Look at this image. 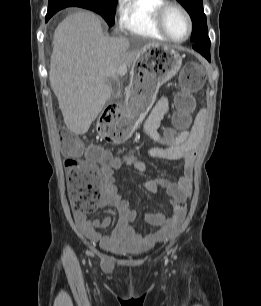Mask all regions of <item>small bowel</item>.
Instances as JSON below:
<instances>
[{
	"label": "small bowel",
	"mask_w": 261,
	"mask_h": 306,
	"mask_svg": "<svg viewBox=\"0 0 261 306\" xmlns=\"http://www.w3.org/2000/svg\"><path fill=\"white\" fill-rule=\"evenodd\" d=\"M169 108L168 98L162 97L148 115L144 123V132L155 145L146 147L144 153L150 158L180 162L182 173L176 183L165 177H158L147 181L145 188L153 194L157 193L158 189H163L174 203L175 215L171 221L165 223L161 214L147 213L145 218L149 227H160V229L149 231L144 235L139 233L132 226L138 214L120 194L113 171L115 168L127 165L143 172L146 169L145 163L137 158L126 161L115 160L106 154L101 159L103 182L96 208L114 206L120 216L117 224L109 234H102L100 230L111 225L112 217L91 220L86 211H76L74 217L82 234L107 252L122 254L130 251H145L157 242L175 237L183 222L186 212L185 201L191 195V168L202 146L204 122L201 114L190 129L180 130L172 138H166L159 132V126ZM78 163L77 158L67 159L66 170H71Z\"/></svg>",
	"instance_id": "obj_1"
}]
</instances>
